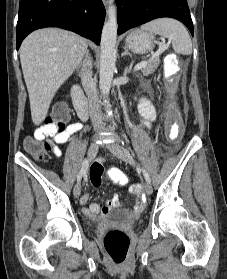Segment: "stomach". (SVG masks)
Here are the masks:
<instances>
[{"label":"stomach","mask_w":227,"mask_h":279,"mask_svg":"<svg viewBox=\"0 0 227 279\" xmlns=\"http://www.w3.org/2000/svg\"><path fill=\"white\" fill-rule=\"evenodd\" d=\"M126 46L136 54H146L154 47V36L150 32L135 30L126 38Z\"/></svg>","instance_id":"obj_1"}]
</instances>
